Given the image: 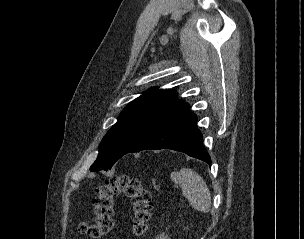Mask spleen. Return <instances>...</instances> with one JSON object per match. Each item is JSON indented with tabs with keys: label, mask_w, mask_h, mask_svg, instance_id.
<instances>
[{
	"label": "spleen",
	"mask_w": 304,
	"mask_h": 239,
	"mask_svg": "<svg viewBox=\"0 0 304 239\" xmlns=\"http://www.w3.org/2000/svg\"><path fill=\"white\" fill-rule=\"evenodd\" d=\"M171 178L180 185L183 195L194 209L202 213L210 211V191L203 178L197 172L190 168H183L179 172L172 173Z\"/></svg>",
	"instance_id": "spleen-1"
}]
</instances>
